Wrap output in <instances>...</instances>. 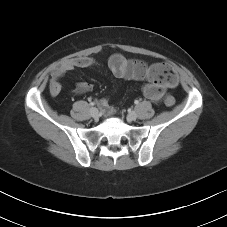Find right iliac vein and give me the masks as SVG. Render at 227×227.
Returning <instances> with one entry per match:
<instances>
[{"label":"right iliac vein","instance_id":"right-iliac-vein-1","mask_svg":"<svg viewBox=\"0 0 227 227\" xmlns=\"http://www.w3.org/2000/svg\"><path fill=\"white\" fill-rule=\"evenodd\" d=\"M90 114H91V116L94 118V119H97L98 118V116H99V112H98V109H96V108H91L90 109Z\"/></svg>","mask_w":227,"mask_h":227}]
</instances>
